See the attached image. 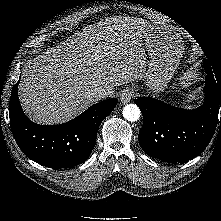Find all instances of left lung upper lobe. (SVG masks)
Segmentation results:
<instances>
[{
    "label": "left lung upper lobe",
    "mask_w": 221,
    "mask_h": 221,
    "mask_svg": "<svg viewBox=\"0 0 221 221\" xmlns=\"http://www.w3.org/2000/svg\"><path fill=\"white\" fill-rule=\"evenodd\" d=\"M203 64H204V68H205V69H211V66H210L208 60L205 59V60L203 61ZM211 70H212V69H211Z\"/></svg>",
    "instance_id": "left-lung-upper-lobe-1"
}]
</instances>
